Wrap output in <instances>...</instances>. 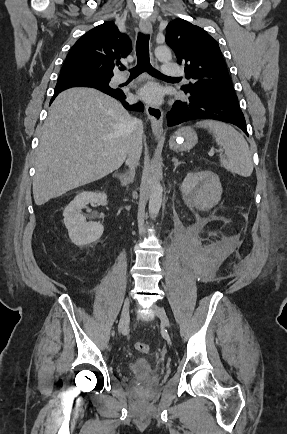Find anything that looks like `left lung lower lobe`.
<instances>
[{
	"instance_id": "0a47b994",
	"label": "left lung lower lobe",
	"mask_w": 287,
	"mask_h": 434,
	"mask_svg": "<svg viewBox=\"0 0 287 434\" xmlns=\"http://www.w3.org/2000/svg\"><path fill=\"white\" fill-rule=\"evenodd\" d=\"M167 119L169 127L194 119L220 120L238 126L248 135L237 97L192 91L185 100L175 101Z\"/></svg>"
}]
</instances>
